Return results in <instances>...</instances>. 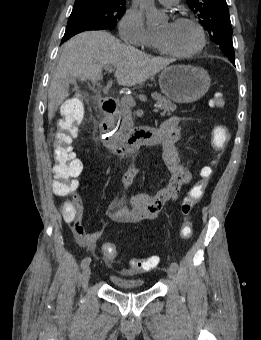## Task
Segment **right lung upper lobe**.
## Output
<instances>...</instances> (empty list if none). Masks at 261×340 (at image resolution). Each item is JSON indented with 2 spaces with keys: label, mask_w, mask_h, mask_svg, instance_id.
<instances>
[{
  "label": "right lung upper lobe",
  "mask_w": 261,
  "mask_h": 340,
  "mask_svg": "<svg viewBox=\"0 0 261 340\" xmlns=\"http://www.w3.org/2000/svg\"><path fill=\"white\" fill-rule=\"evenodd\" d=\"M86 1H99V2H123V3H125V0H75V3H78V2H86Z\"/></svg>",
  "instance_id": "obj_1"
}]
</instances>
